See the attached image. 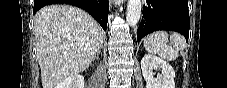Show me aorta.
Wrapping results in <instances>:
<instances>
[{
  "mask_svg": "<svg viewBox=\"0 0 227 88\" xmlns=\"http://www.w3.org/2000/svg\"><path fill=\"white\" fill-rule=\"evenodd\" d=\"M141 0H128L126 21L128 25L135 26L141 17Z\"/></svg>",
  "mask_w": 227,
  "mask_h": 88,
  "instance_id": "1",
  "label": "aorta"
}]
</instances>
